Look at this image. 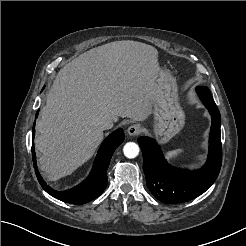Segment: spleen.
Masks as SVG:
<instances>
[{"mask_svg": "<svg viewBox=\"0 0 246 246\" xmlns=\"http://www.w3.org/2000/svg\"><path fill=\"white\" fill-rule=\"evenodd\" d=\"M185 149H176L172 151H168L165 153V157L169 161H176L179 156L184 152Z\"/></svg>", "mask_w": 246, "mask_h": 246, "instance_id": "obj_1", "label": "spleen"}]
</instances>
